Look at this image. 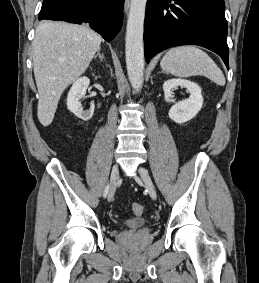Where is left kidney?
I'll use <instances>...</instances> for the list:
<instances>
[{"mask_svg":"<svg viewBox=\"0 0 259 283\" xmlns=\"http://www.w3.org/2000/svg\"><path fill=\"white\" fill-rule=\"evenodd\" d=\"M177 87L186 88L189 91L190 96L187 100L180 101L173 105L168 115L174 122L182 124L194 118L201 110L203 96L200 86L196 83L184 79H170L163 84L166 102L170 103L173 101L172 91Z\"/></svg>","mask_w":259,"mask_h":283,"instance_id":"1","label":"left kidney"}]
</instances>
